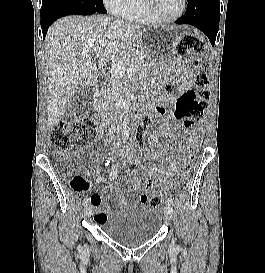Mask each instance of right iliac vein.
<instances>
[{
  "instance_id": "1",
  "label": "right iliac vein",
  "mask_w": 265,
  "mask_h": 273,
  "mask_svg": "<svg viewBox=\"0 0 265 273\" xmlns=\"http://www.w3.org/2000/svg\"><path fill=\"white\" fill-rule=\"evenodd\" d=\"M84 213H85V216L89 218L91 216V214H92V206L87 205L85 207Z\"/></svg>"
}]
</instances>
